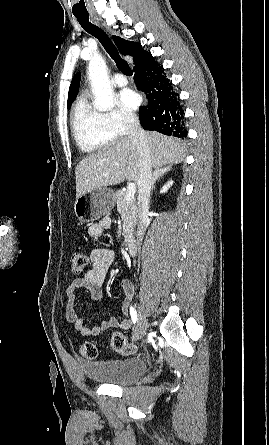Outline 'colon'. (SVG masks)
<instances>
[{"label":"colon","mask_w":269,"mask_h":445,"mask_svg":"<svg viewBox=\"0 0 269 445\" xmlns=\"http://www.w3.org/2000/svg\"><path fill=\"white\" fill-rule=\"evenodd\" d=\"M71 268L76 274L81 273L88 262L87 256L79 251L74 250L70 255ZM112 348L123 355H132L135 353L136 349L133 345L129 344L126 338L120 333H114L111 338ZM80 352L86 359H96L98 357L99 348L95 342L86 341L81 345Z\"/></svg>","instance_id":"5ec220e1"}]
</instances>
